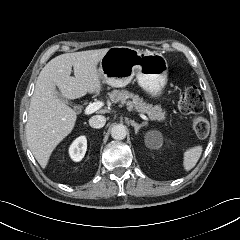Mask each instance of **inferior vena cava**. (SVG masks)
Wrapping results in <instances>:
<instances>
[{
	"mask_svg": "<svg viewBox=\"0 0 240 240\" xmlns=\"http://www.w3.org/2000/svg\"><path fill=\"white\" fill-rule=\"evenodd\" d=\"M106 123V118L102 115H94L89 119L92 128H102Z\"/></svg>",
	"mask_w": 240,
	"mask_h": 240,
	"instance_id": "1",
	"label": "inferior vena cava"
}]
</instances>
